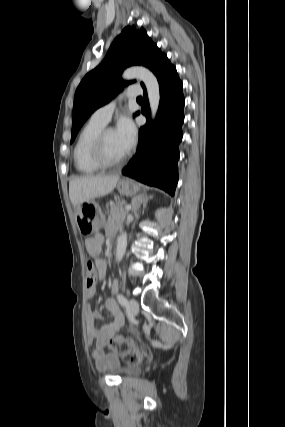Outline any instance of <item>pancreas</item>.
Here are the masks:
<instances>
[{"mask_svg": "<svg viewBox=\"0 0 285 427\" xmlns=\"http://www.w3.org/2000/svg\"><path fill=\"white\" fill-rule=\"evenodd\" d=\"M125 205L124 202H120L119 204H111L110 205V216L108 218V224L114 222H121L125 219L127 215V210L123 208Z\"/></svg>", "mask_w": 285, "mask_h": 427, "instance_id": "1", "label": "pancreas"}]
</instances>
